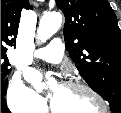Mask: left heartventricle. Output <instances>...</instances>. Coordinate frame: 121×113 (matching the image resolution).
I'll list each match as a JSON object with an SVG mask.
<instances>
[{"mask_svg": "<svg viewBox=\"0 0 121 113\" xmlns=\"http://www.w3.org/2000/svg\"><path fill=\"white\" fill-rule=\"evenodd\" d=\"M51 102L59 113H100L102 111L101 104L89 93L72 90L61 85L53 87Z\"/></svg>", "mask_w": 121, "mask_h": 113, "instance_id": "1", "label": "left heart ventricle"}]
</instances>
